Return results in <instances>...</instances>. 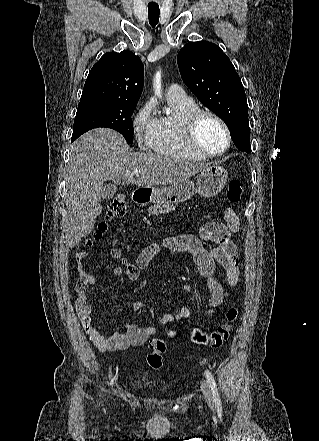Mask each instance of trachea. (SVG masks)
Here are the masks:
<instances>
[{
	"label": "trachea",
	"mask_w": 319,
	"mask_h": 441,
	"mask_svg": "<svg viewBox=\"0 0 319 441\" xmlns=\"http://www.w3.org/2000/svg\"><path fill=\"white\" fill-rule=\"evenodd\" d=\"M160 10L159 6H148V19L149 24L155 27L159 22Z\"/></svg>",
	"instance_id": "obj_1"
}]
</instances>
